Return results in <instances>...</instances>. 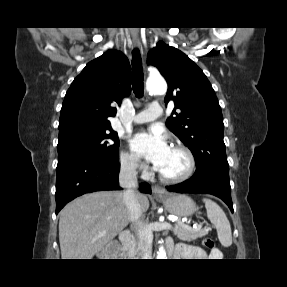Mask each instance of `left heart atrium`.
Returning a JSON list of instances; mask_svg holds the SVG:
<instances>
[{"label": "left heart atrium", "mask_w": 287, "mask_h": 287, "mask_svg": "<svg viewBox=\"0 0 287 287\" xmlns=\"http://www.w3.org/2000/svg\"><path fill=\"white\" fill-rule=\"evenodd\" d=\"M131 148L159 170L170 149L165 137L157 130L137 133L131 139Z\"/></svg>", "instance_id": "1"}]
</instances>
